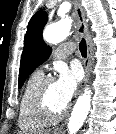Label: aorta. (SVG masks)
<instances>
[{"label":"aorta","instance_id":"obj_1","mask_svg":"<svg viewBox=\"0 0 116 134\" xmlns=\"http://www.w3.org/2000/svg\"><path fill=\"white\" fill-rule=\"evenodd\" d=\"M71 30V21L69 19L61 20L46 27L43 33L44 40L51 44H57L69 36ZM91 107V92H85L79 96L72 110L68 123L69 134H76L82 127Z\"/></svg>","mask_w":116,"mask_h":134}]
</instances>
